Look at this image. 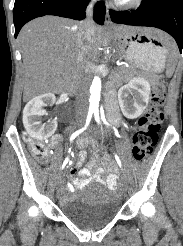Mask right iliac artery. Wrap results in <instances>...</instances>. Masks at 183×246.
Segmentation results:
<instances>
[{"label":"right iliac artery","mask_w":183,"mask_h":246,"mask_svg":"<svg viewBox=\"0 0 183 246\" xmlns=\"http://www.w3.org/2000/svg\"><path fill=\"white\" fill-rule=\"evenodd\" d=\"M93 112H94L93 110H89L85 126L83 128H81L80 130L74 132L70 137V141H73L80 133H82L84 130H86V128L88 127V125L91 121ZM67 163H68V157L64 160L63 165H62V169L66 166Z\"/></svg>","instance_id":"82829eb1"}]
</instances>
